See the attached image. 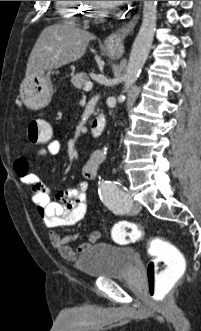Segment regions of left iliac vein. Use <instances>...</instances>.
Wrapping results in <instances>:
<instances>
[{
	"mask_svg": "<svg viewBox=\"0 0 201 331\" xmlns=\"http://www.w3.org/2000/svg\"><path fill=\"white\" fill-rule=\"evenodd\" d=\"M141 208H142V207H141V204L138 203V202H134L133 205H132V211H133L134 213H138V212H140Z\"/></svg>",
	"mask_w": 201,
	"mask_h": 331,
	"instance_id": "left-iliac-vein-1",
	"label": "left iliac vein"
}]
</instances>
